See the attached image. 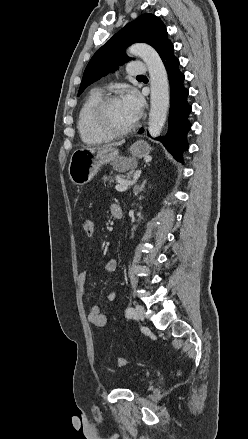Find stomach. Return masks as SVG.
<instances>
[{
	"label": "stomach",
	"mask_w": 248,
	"mask_h": 439,
	"mask_svg": "<svg viewBox=\"0 0 248 439\" xmlns=\"http://www.w3.org/2000/svg\"><path fill=\"white\" fill-rule=\"evenodd\" d=\"M150 150L149 144L143 140L135 142L130 147L133 157L138 158L147 156ZM120 158L118 149L113 146L76 149L70 158L69 177L75 185L83 186L93 179L102 165L115 163Z\"/></svg>",
	"instance_id": "1"
}]
</instances>
